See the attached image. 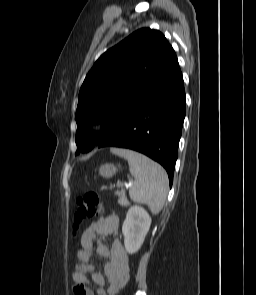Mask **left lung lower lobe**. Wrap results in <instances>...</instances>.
<instances>
[{
  "mask_svg": "<svg viewBox=\"0 0 256 295\" xmlns=\"http://www.w3.org/2000/svg\"><path fill=\"white\" fill-rule=\"evenodd\" d=\"M185 111L184 83L178 67L97 146L127 148L147 155L166 169L172 185Z\"/></svg>",
  "mask_w": 256,
  "mask_h": 295,
  "instance_id": "1",
  "label": "left lung lower lobe"
}]
</instances>
